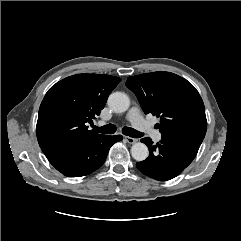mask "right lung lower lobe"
Returning <instances> with one entry per match:
<instances>
[{"label": "right lung lower lobe", "instance_id": "1", "mask_svg": "<svg viewBox=\"0 0 241 241\" xmlns=\"http://www.w3.org/2000/svg\"><path fill=\"white\" fill-rule=\"evenodd\" d=\"M122 139L121 135H99L87 141L54 148L44 154L63 175L81 177L100 168L106 160L110 147Z\"/></svg>", "mask_w": 241, "mask_h": 241}]
</instances>
